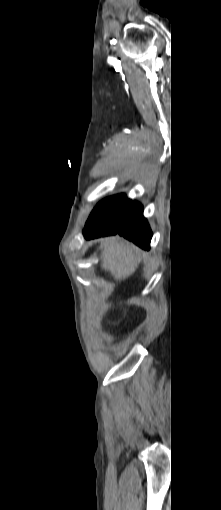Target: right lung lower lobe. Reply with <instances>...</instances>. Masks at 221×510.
<instances>
[{
	"mask_svg": "<svg viewBox=\"0 0 221 510\" xmlns=\"http://www.w3.org/2000/svg\"><path fill=\"white\" fill-rule=\"evenodd\" d=\"M142 213L143 207L141 204L131 200L124 215L117 220L102 216L93 210L83 234L87 239H91L118 233L141 248L149 250L152 232Z\"/></svg>",
	"mask_w": 221,
	"mask_h": 510,
	"instance_id": "1",
	"label": "right lung lower lobe"
}]
</instances>
